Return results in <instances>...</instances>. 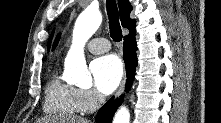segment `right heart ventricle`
Listing matches in <instances>:
<instances>
[{
    "label": "right heart ventricle",
    "instance_id": "obj_1",
    "mask_svg": "<svg viewBox=\"0 0 221 123\" xmlns=\"http://www.w3.org/2000/svg\"><path fill=\"white\" fill-rule=\"evenodd\" d=\"M77 92L78 89L63 82L53 72L45 87L44 112L60 117H71L81 113Z\"/></svg>",
    "mask_w": 221,
    "mask_h": 123
}]
</instances>
